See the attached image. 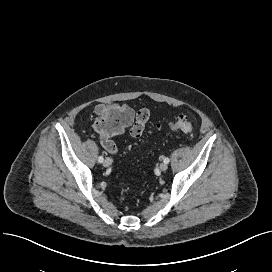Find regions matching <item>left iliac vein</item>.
Listing matches in <instances>:
<instances>
[{
	"label": "left iliac vein",
	"mask_w": 272,
	"mask_h": 272,
	"mask_svg": "<svg viewBox=\"0 0 272 272\" xmlns=\"http://www.w3.org/2000/svg\"><path fill=\"white\" fill-rule=\"evenodd\" d=\"M167 168H168V164L165 163V162H162V163L159 165V169H160L161 171H166Z\"/></svg>",
	"instance_id": "left-iliac-vein-1"
}]
</instances>
